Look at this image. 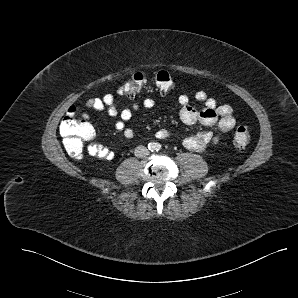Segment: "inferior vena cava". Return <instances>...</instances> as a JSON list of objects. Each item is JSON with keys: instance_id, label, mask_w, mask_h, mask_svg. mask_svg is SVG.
I'll list each match as a JSON object with an SVG mask.
<instances>
[{"instance_id": "inferior-vena-cava-1", "label": "inferior vena cava", "mask_w": 298, "mask_h": 298, "mask_svg": "<svg viewBox=\"0 0 298 298\" xmlns=\"http://www.w3.org/2000/svg\"><path fill=\"white\" fill-rule=\"evenodd\" d=\"M134 155L138 158H143L149 155V150L145 146H138L135 148Z\"/></svg>"}]
</instances>
